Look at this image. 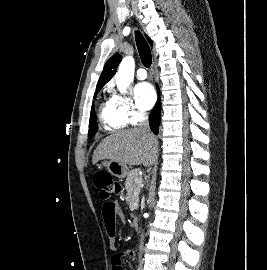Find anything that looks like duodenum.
Segmentation results:
<instances>
[{"instance_id":"410a0bca","label":"duodenum","mask_w":267,"mask_h":270,"mask_svg":"<svg viewBox=\"0 0 267 270\" xmlns=\"http://www.w3.org/2000/svg\"><path fill=\"white\" fill-rule=\"evenodd\" d=\"M133 225H134L135 228H138L139 227V220L138 219H134Z\"/></svg>"}]
</instances>
